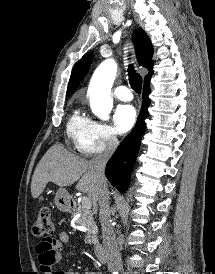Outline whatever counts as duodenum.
I'll return each mask as SVG.
<instances>
[{"label":"duodenum","instance_id":"1","mask_svg":"<svg viewBox=\"0 0 215 274\" xmlns=\"http://www.w3.org/2000/svg\"><path fill=\"white\" fill-rule=\"evenodd\" d=\"M94 251L97 259L101 263L106 262V250L102 244L100 243L95 244Z\"/></svg>","mask_w":215,"mask_h":274}]
</instances>
